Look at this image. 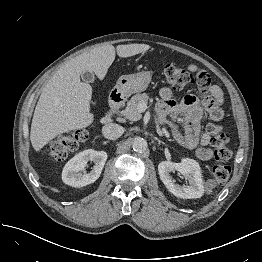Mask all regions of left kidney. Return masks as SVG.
I'll use <instances>...</instances> for the list:
<instances>
[{
    "mask_svg": "<svg viewBox=\"0 0 262 262\" xmlns=\"http://www.w3.org/2000/svg\"><path fill=\"white\" fill-rule=\"evenodd\" d=\"M179 172L188 181L189 185H179L171 177V172ZM160 179L169 192L179 198L195 199L204 194L203 179L200 166L193 159H182L180 163L162 161L158 165Z\"/></svg>",
    "mask_w": 262,
    "mask_h": 262,
    "instance_id": "1",
    "label": "left kidney"
}]
</instances>
